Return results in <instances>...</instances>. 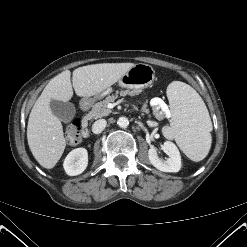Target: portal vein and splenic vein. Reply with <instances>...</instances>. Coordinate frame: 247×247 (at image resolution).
<instances>
[{"mask_svg": "<svg viewBox=\"0 0 247 247\" xmlns=\"http://www.w3.org/2000/svg\"><path fill=\"white\" fill-rule=\"evenodd\" d=\"M162 110L165 112L167 117H170L171 114L166 104L162 105Z\"/></svg>", "mask_w": 247, "mask_h": 247, "instance_id": "portal-vein-and-splenic-vein-1", "label": "portal vein and splenic vein"}]
</instances>
